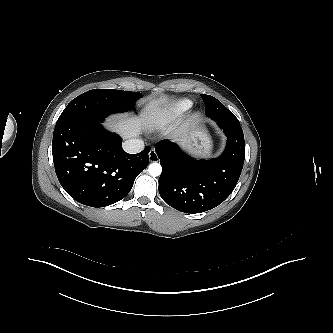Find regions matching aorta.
<instances>
[{"instance_id": "1", "label": "aorta", "mask_w": 333, "mask_h": 333, "mask_svg": "<svg viewBox=\"0 0 333 333\" xmlns=\"http://www.w3.org/2000/svg\"><path fill=\"white\" fill-rule=\"evenodd\" d=\"M148 172L151 176H159L162 172V167L159 163H151L148 167Z\"/></svg>"}]
</instances>
